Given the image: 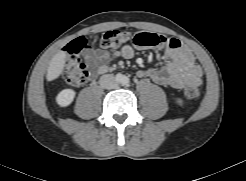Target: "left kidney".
I'll return each instance as SVG.
<instances>
[{"label":"left kidney","instance_id":"left-kidney-1","mask_svg":"<svg viewBox=\"0 0 246 181\" xmlns=\"http://www.w3.org/2000/svg\"><path fill=\"white\" fill-rule=\"evenodd\" d=\"M176 102H177V104H179V105H182V104H183V100L180 99V98H177V99H176Z\"/></svg>","mask_w":246,"mask_h":181}]
</instances>
